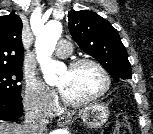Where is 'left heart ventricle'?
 Wrapping results in <instances>:
<instances>
[{"label":"left heart ventricle","instance_id":"b2bd125f","mask_svg":"<svg viewBox=\"0 0 153 134\" xmlns=\"http://www.w3.org/2000/svg\"><path fill=\"white\" fill-rule=\"evenodd\" d=\"M56 85L68 98L78 100L97 93L103 86V78L93 65L84 64L73 70L67 68Z\"/></svg>","mask_w":153,"mask_h":134}]
</instances>
